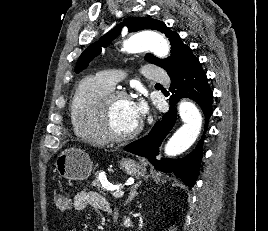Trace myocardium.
Listing matches in <instances>:
<instances>
[{"instance_id": "f54148a6", "label": "myocardium", "mask_w": 268, "mask_h": 231, "mask_svg": "<svg viewBox=\"0 0 268 231\" xmlns=\"http://www.w3.org/2000/svg\"><path fill=\"white\" fill-rule=\"evenodd\" d=\"M120 99H130V96L123 90L111 89L102 97L99 103L98 120L100 129L109 140L113 141L132 139L140 134L143 128V124L140 122V124L130 132L122 133L116 130L112 121V108L115 102Z\"/></svg>"}]
</instances>
